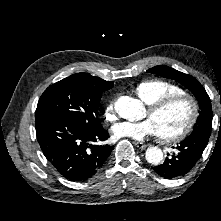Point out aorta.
I'll return each instance as SVG.
<instances>
[{"mask_svg": "<svg viewBox=\"0 0 221 221\" xmlns=\"http://www.w3.org/2000/svg\"><path fill=\"white\" fill-rule=\"evenodd\" d=\"M115 110L120 117L135 121L142 118L144 108L139 100L122 96L115 103ZM145 157L150 164L158 165L163 160V152L158 147H150L146 150Z\"/></svg>", "mask_w": 221, "mask_h": 221, "instance_id": "762f6f07", "label": "aorta"}]
</instances>
